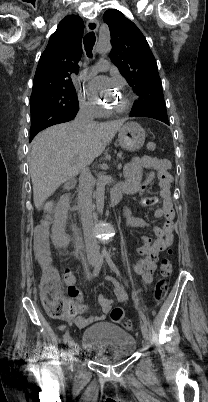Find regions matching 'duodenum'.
Instances as JSON below:
<instances>
[{
	"label": "duodenum",
	"mask_w": 208,
	"mask_h": 402,
	"mask_svg": "<svg viewBox=\"0 0 208 402\" xmlns=\"http://www.w3.org/2000/svg\"><path fill=\"white\" fill-rule=\"evenodd\" d=\"M124 193H127V189L124 185H117L113 187L110 192L111 204L113 205L117 204Z\"/></svg>",
	"instance_id": "1"
}]
</instances>
